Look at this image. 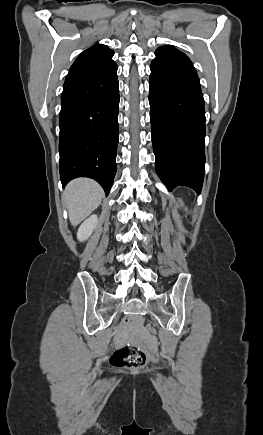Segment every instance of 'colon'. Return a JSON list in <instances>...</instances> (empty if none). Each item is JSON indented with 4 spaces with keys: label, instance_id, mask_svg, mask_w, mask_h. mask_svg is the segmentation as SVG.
<instances>
[{
    "label": "colon",
    "instance_id": "1",
    "mask_svg": "<svg viewBox=\"0 0 263 435\" xmlns=\"http://www.w3.org/2000/svg\"><path fill=\"white\" fill-rule=\"evenodd\" d=\"M152 335H156V330L150 327V324H145ZM146 362L145 353L137 347L125 346L116 350L111 356V364L116 367L124 368H140Z\"/></svg>",
    "mask_w": 263,
    "mask_h": 435
}]
</instances>
